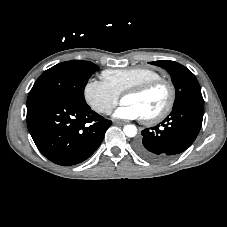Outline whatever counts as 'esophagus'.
I'll return each mask as SVG.
<instances>
[{"instance_id": "34e87169", "label": "esophagus", "mask_w": 227, "mask_h": 227, "mask_svg": "<svg viewBox=\"0 0 227 227\" xmlns=\"http://www.w3.org/2000/svg\"><path fill=\"white\" fill-rule=\"evenodd\" d=\"M114 124L116 125H125V122H122V121H114Z\"/></svg>"}]
</instances>
